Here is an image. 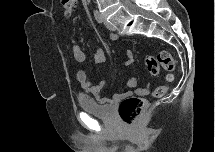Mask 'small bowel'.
<instances>
[{"label": "small bowel", "instance_id": "small-bowel-1", "mask_svg": "<svg viewBox=\"0 0 215 152\" xmlns=\"http://www.w3.org/2000/svg\"><path fill=\"white\" fill-rule=\"evenodd\" d=\"M110 39L112 41L116 42V41H118V36L116 34H111ZM71 49H72L74 59L77 62H83L85 60V53L76 41L72 42ZM126 57H127V60H126L127 65L133 64L134 60L132 58V53L130 51L127 53ZM93 60L97 64L104 63L106 61L105 50L102 48L96 50L93 55ZM76 79H77L78 83L80 84V87L84 94L93 96L96 100H98L101 103L114 101V100H117L120 98L119 95L113 96V98L111 100L101 97V91L105 86V82L100 81L97 84H93L89 80L87 73L83 70H80L76 73ZM127 85H128V87H130L132 89L131 93L136 94V95L146 94L149 90L148 84L144 85V86H138V80L135 77H130Z\"/></svg>", "mask_w": 215, "mask_h": 152}]
</instances>
